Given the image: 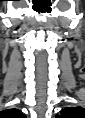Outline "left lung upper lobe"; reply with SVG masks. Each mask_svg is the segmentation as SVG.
Here are the masks:
<instances>
[{
	"mask_svg": "<svg viewBox=\"0 0 85 118\" xmlns=\"http://www.w3.org/2000/svg\"><path fill=\"white\" fill-rule=\"evenodd\" d=\"M76 108H65L63 110H61V117H64V116H68L70 114H72L74 111H75Z\"/></svg>",
	"mask_w": 85,
	"mask_h": 118,
	"instance_id": "1",
	"label": "left lung upper lobe"
}]
</instances>
